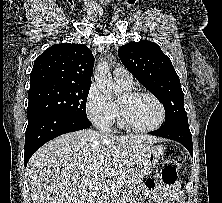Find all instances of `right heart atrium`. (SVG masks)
I'll use <instances>...</instances> for the list:
<instances>
[{"label":"right heart atrium","instance_id":"right-heart-atrium-1","mask_svg":"<svg viewBox=\"0 0 222 203\" xmlns=\"http://www.w3.org/2000/svg\"><path fill=\"white\" fill-rule=\"evenodd\" d=\"M86 112L93 124L108 130L116 119V106L96 87H92L86 99Z\"/></svg>","mask_w":222,"mask_h":203}]
</instances>
